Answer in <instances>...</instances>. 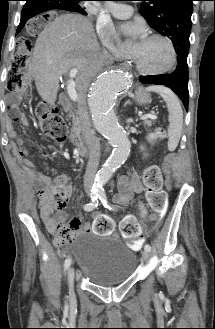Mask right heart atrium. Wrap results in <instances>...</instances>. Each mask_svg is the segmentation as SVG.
I'll use <instances>...</instances> for the list:
<instances>
[{"instance_id":"d8ad5b80","label":"right heart atrium","mask_w":215,"mask_h":329,"mask_svg":"<svg viewBox=\"0 0 215 329\" xmlns=\"http://www.w3.org/2000/svg\"><path fill=\"white\" fill-rule=\"evenodd\" d=\"M97 33L105 46H107L116 57H123L116 44V36L111 24L103 21L97 23Z\"/></svg>"}]
</instances>
